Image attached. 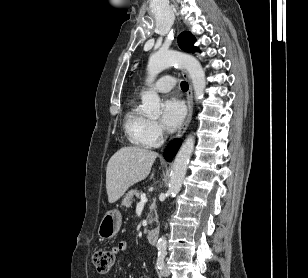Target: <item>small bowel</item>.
<instances>
[{
    "label": "small bowel",
    "instance_id": "1",
    "mask_svg": "<svg viewBox=\"0 0 308 278\" xmlns=\"http://www.w3.org/2000/svg\"><path fill=\"white\" fill-rule=\"evenodd\" d=\"M127 248V243L124 241L119 242L118 244L114 245L111 248V251L113 252L114 255H118L122 252H124Z\"/></svg>",
    "mask_w": 308,
    "mask_h": 278
}]
</instances>
